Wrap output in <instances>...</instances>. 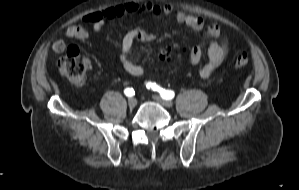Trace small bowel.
Wrapping results in <instances>:
<instances>
[{
  "label": "small bowel",
  "mask_w": 299,
  "mask_h": 190,
  "mask_svg": "<svg viewBox=\"0 0 299 190\" xmlns=\"http://www.w3.org/2000/svg\"><path fill=\"white\" fill-rule=\"evenodd\" d=\"M146 13L152 16H173L178 23L185 24L195 31H202L208 41L207 60L199 69L202 78H209L229 57L231 46L229 38L224 34L215 21L207 22L201 16L187 14L176 9L173 5L167 4L160 7L154 3H129L125 5L111 6L102 10L87 13L83 21L90 24L94 31L101 32L107 21L122 18L127 14ZM89 36V31L79 25L70 26L66 29L64 37L55 41L52 49L56 53L65 50L67 40H83ZM154 34L145 25H140L129 31L121 43L119 59L123 68L132 76H141L145 70L142 66L133 63L129 58V53L137 41L149 40ZM203 46L201 43L193 46L189 54L191 65H197L201 61Z\"/></svg>",
  "instance_id": "c3829d8e"
}]
</instances>
